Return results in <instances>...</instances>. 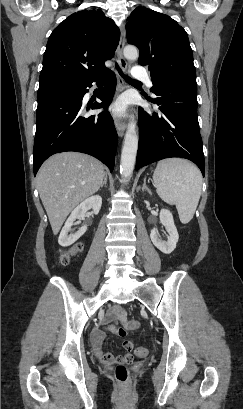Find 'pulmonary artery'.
<instances>
[{
    "instance_id": "e3ab8cb5",
    "label": "pulmonary artery",
    "mask_w": 243,
    "mask_h": 409,
    "mask_svg": "<svg viewBox=\"0 0 243 409\" xmlns=\"http://www.w3.org/2000/svg\"><path fill=\"white\" fill-rule=\"evenodd\" d=\"M136 69L133 71L132 76L137 80H143L147 82L149 87H152V81L146 71L139 69L140 66L136 65Z\"/></svg>"
}]
</instances>
